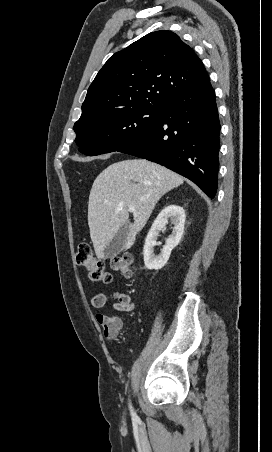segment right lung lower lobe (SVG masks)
I'll use <instances>...</instances> for the list:
<instances>
[{
    "instance_id": "98d812e1",
    "label": "right lung lower lobe",
    "mask_w": 272,
    "mask_h": 452,
    "mask_svg": "<svg viewBox=\"0 0 272 452\" xmlns=\"http://www.w3.org/2000/svg\"><path fill=\"white\" fill-rule=\"evenodd\" d=\"M219 134L215 93L209 80L165 105L157 122L118 152L165 166L214 198L218 186Z\"/></svg>"
}]
</instances>
